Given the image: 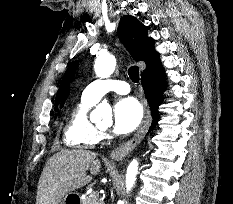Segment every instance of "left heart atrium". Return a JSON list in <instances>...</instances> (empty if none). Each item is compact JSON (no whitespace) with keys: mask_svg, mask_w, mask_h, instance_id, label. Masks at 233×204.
<instances>
[{"mask_svg":"<svg viewBox=\"0 0 233 204\" xmlns=\"http://www.w3.org/2000/svg\"><path fill=\"white\" fill-rule=\"evenodd\" d=\"M113 114V131L117 134H128L141 123L143 108L137 99L128 97L115 104Z\"/></svg>","mask_w":233,"mask_h":204,"instance_id":"left-heart-atrium-1","label":"left heart atrium"}]
</instances>
